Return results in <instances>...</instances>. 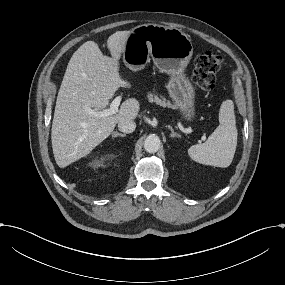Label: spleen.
<instances>
[{
	"mask_svg": "<svg viewBox=\"0 0 285 285\" xmlns=\"http://www.w3.org/2000/svg\"><path fill=\"white\" fill-rule=\"evenodd\" d=\"M219 123L205 143L193 145L188 149L192 160L221 168H226L232 163L238 136L232 100L222 102Z\"/></svg>",
	"mask_w": 285,
	"mask_h": 285,
	"instance_id": "3e777b00",
	"label": "spleen"
}]
</instances>
